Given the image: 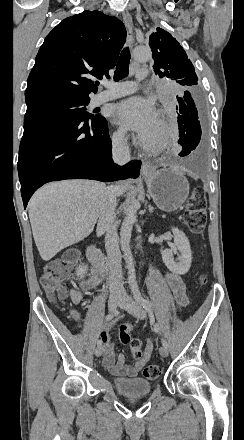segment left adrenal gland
Here are the masks:
<instances>
[{"instance_id":"left-adrenal-gland-1","label":"left adrenal gland","mask_w":244,"mask_h":440,"mask_svg":"<svg viewBox=\"0 0 244 440\" xmlns=\"http://www.w3.org/2000/svg\"><path fill=\"white\" fill-rule=\"evenodd\" d=\"M152 210H154V208H152V206H149V212H152Z\"/></svg>"}]
</instances>
